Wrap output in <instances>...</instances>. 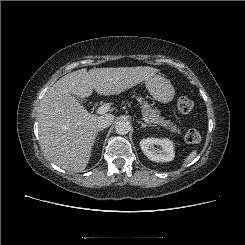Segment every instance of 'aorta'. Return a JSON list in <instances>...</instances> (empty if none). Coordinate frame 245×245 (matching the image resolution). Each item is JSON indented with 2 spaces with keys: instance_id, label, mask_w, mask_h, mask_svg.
Masks as SVG:
<instances>
[{
  "instance_id": "obj_1",
  "label": "aorta",
  "mask_w": 245,
  "mask_h": 245,
  "mask_svg": "<svg viewBox=\"0 0 245 245\" xmlns=\"http://www.w3.org/2000/svg\"><path fill=\"white\" fill-rule=\"evenodd\" d=\"M131 130V123L128 120L121 119L115 124V131L119 135H126Z\"/></svg>"
}]
</instances>
